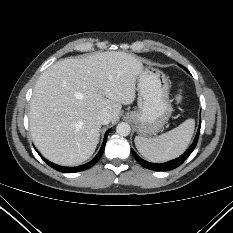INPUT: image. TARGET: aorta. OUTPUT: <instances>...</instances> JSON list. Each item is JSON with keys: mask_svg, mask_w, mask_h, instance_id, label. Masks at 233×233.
I'll list each match as a JSON object with an SVG mask.
<instances>
[{"mask_svg": "<svg viewBox=\"0 0 233 233\" xmlns=\"http://www.w3.org/2000/svg\"><path fill=\"white\" fill-rule=\"evenodd\" d=\"M116 132L120 136H128L131 132L130 125L126 122H121L117 125Z\"/></svg>", "mask_w": 233, "mask_h": 233, "instance_id": "1", "label": "aorta"}]
</instances>
